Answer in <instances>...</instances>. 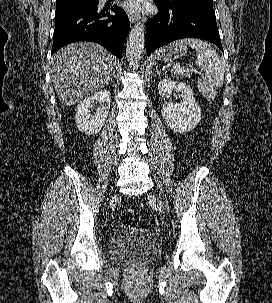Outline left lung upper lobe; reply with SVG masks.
<instances>
[{
    "instance_id": "5c2ea615",
    "label": "left lung upper lobe",
    "mask_w": 272,
    "mask_h": 303,
    "mask_svg": "<svg viewBox=\"0 0 272 303\" xmlns=\"http://www.w3.org/2000/svg\"><path fill=\"white\" fill-rule=\"evenodd\" d=\"M157 3L165 7H185V6H198L213 8L212 0H155Z\"/></svg>"
}]
</instances>
